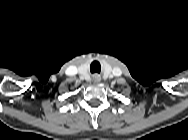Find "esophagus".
<instances>
[{
    "instance_id": "1",
    "label": "esophagus",
    "mask_w": 188,
    "mask_h": 140,
    "mask_svg": "<svg viewBox=\"0 0 188 140\" xmlns=\"http://www.w3.org/2000/svg\"><path fill=\"white\" fill-rule=\"evenodd\" d=\"M93 80H94L95 82H99V81L101 80L100 75L94 74V75H93Z\"/></svg>"
}]
</instances>
